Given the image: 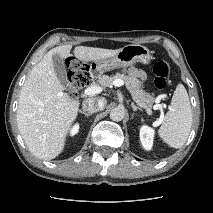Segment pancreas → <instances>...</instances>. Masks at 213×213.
<instances>
[{
    "instance_id": "obj_1",
    "label": "pancreas",
    "mask_w": 213,
    "mask_h": 213,
    "mask_svg": "<svg viewBox=\"0 0 213 213\" xmlns=\"http://www.w3.org/2000/svg\"><path fill=\"white\" fill-rule=\"evenodd\" d=\"M123 79L131 93L133 100L141 107H152L155 102L154 94H149L142 90L140 81L135 76H127L121 73H116L113 76L102 75L98 77V83L104 87H111L113 81Z\"/></svg>"
}]
</instances>
